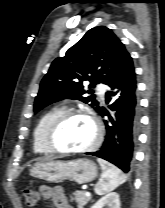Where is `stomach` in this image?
<instances>
[{
  "label": "stomach",
  "instance_id": "obj_1",
  "mask_svg": "<svg viewBox=\"0 0 165 208\" xmlns=\"http://www.w3.org/2000/svg\"><path fill=\"white\" fill-rule=\"evenodd\" d=\"M30 175L54 183L71 180L85 184L96 178L97 166L85 158L71 161L50 160L35 163L30 169Z\"/></svg>",
  "mask_w": 165,
  "mask_h": 208
}]
</instances>
